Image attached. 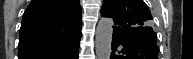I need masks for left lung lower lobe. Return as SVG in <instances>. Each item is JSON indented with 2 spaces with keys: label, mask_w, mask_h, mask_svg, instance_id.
<instances>
[{
  "label": "left lung lower lobe",
  "mask_w": 193,
  "mask_h": 59,
  "mask_svg": "<svg viewBox=\"0 0 193 59\" xmlns=\"http://www.w3.org/2000/svg\"><path fill=\"white\" fill-rule=\"evenodd\" d=\"M110 59H158L157 35L150 27L123 30L113 27ZM122 46V50L118 49Z\"/></svg>",
  "instance_id": "1"
}]
</instances>
